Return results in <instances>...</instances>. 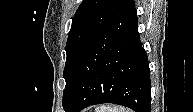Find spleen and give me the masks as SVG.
Returning a JSON list of instances; mask_svg holds the SVG:
<instances>
[{
    "label": "spleen",
    "instance_id": "spleen-1",
    "mask_svg": "<svg viewBox=\"0 0 193 112\" xmlns=\"http://www.w3.org/2000/svg\"><path fill=\"white\" fill-rule=\"evenodd\" d=\"M96 112H128L124 108H118V107H109V106H102L100 109L96 110Z\"/></svg>",
    "mask_w": 193,
    "mask_h": 112
}]
</instances>
